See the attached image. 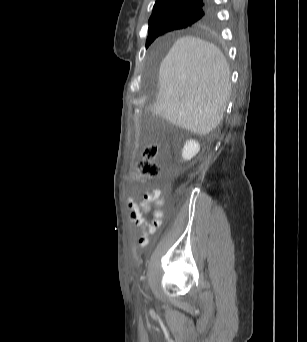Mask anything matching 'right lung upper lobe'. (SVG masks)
<instances>
[{"label": "right lung upper lobe", "instance_id": "right-lung-upper-lobe-1", "mask_svg": "<svg viewBox=\"0 0 307 342\" xmlns=\"http://www.w3.org/2000/svg\"><path fill=\"white\" fill-rule=\"evenodd\" d=\"M184 9H197L204 11L202 16L196 22L187 26L191 31L204 33L210 30L213 13L211 2L208 0H156L152 15L149 19V25H152L156 17L163 12Z\"/></svg>", "mask_w": 307, "mask_h": 342}]
</instances>
